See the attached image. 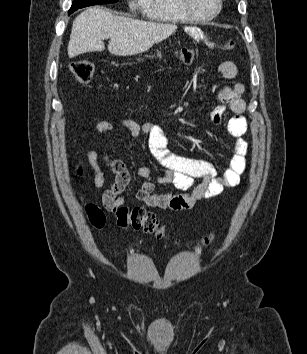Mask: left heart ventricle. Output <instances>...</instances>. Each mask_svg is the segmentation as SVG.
I'll list each match as a JSON object with an SVG mask.
<instances>
[{"label": "left heart ventricle", "instance_id": "1", "mask_svg": "<svg viewBox=\"0 0 307 354\" xmlns=\"http://www.w3.org/2000/svg\"><path fill=\"white\" fill-rule=\"evenodd\" d=\"M192 11L198 16H209L217 8V0H190Z\"/></svg>", "mask_w": 307, "mask_h": 354}]
</instances>
